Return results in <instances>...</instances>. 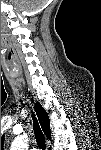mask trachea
I'll use <instances>...</instances> for the list:
<instances>
[{
    "label": "trachea",
    "mask_w": 101,
    "mask_h": 150,
    "mask_svg": "<svg viewBox=\"0 0 101 150\" xmlns=\"http://www.w3.org/2000/svg\"><path fill=\"white\" fill-rule=\"evenodd\" d=\"M33 117V129H34V134H35V138H36V142L38 144V146L42 149L45 150L46 144H45V137L41 131V128L39 126V123L35 117L34 114H32Z\"/></svg>",
    "instance_id": "trachea-1"
}]
</instances>
